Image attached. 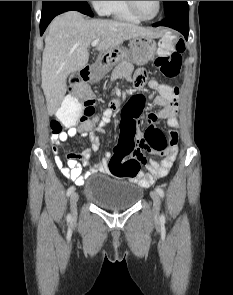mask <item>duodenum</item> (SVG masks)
I'll return each mask as SVG.
<instances>
[{
	"label": "duodenum",
	"instance_id": "410a0bca",
	"mask_svg": "<svg viewBox=\"0 0 233 295\" xmlns=\"http://www.w3.org/2000/svg\"><path fill=\"white\" fill-rule=\"evenodd\" d=\"M81 77H82V81H85V82H88L90 80L93 79L94 77V72H93V69L91 67H84L82 70H81ZM121 104V101L120 100H115L112 102V105L111 107L113 109H116L120 106Z\"/></svg>",
	"mask_w": 233,
	"mask_h": 295
}]
</instances>
